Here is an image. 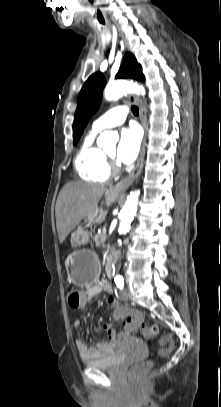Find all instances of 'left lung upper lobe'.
I'll use <instances>...</instances> for the list:
<instances>
[{
    "mask_svg": "<svg viewBox=\"0 0 221 407\" xmlns=\"http://www.w3.org/2000/svg\"><path fill=\"white\" fill-rule=\"evenodd\" d=\"M127 77H133L140 81L145 79L142 74L141 65L137 63L136 58L130 53L125 54L123 64L116 75V78ZM105 85L106 79L100 72L91 75L83 85L78 95L77 109L73 122L74 144H77L84 131V127L99 108Z\"/></svg>",
    "mask_w": 221,
    "mask_h": 407,
    "instance_id": "1",
    "label": "left lung upper lobe"
}]
</instances>
